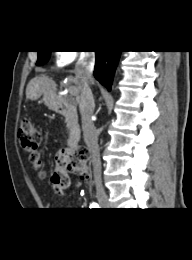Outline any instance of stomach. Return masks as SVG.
I'll return each instance as SVG.
<instances>
[{"label":"stomach","instance_id":"obj_1","mask_svg":"<svg viewBox=\"0 0 192 260\" xmlns=\"http://www.w3.org/2000/svg\"><path fill=\"white\" fill-rule=\"evenodd\" d=\"M36 90H37L36 87H33V88L31 89L29 95H30L31 97H33V98H34V97L39 98L40 93H39L38 91H36Z\"/></svg>","mask_w":192,"mask_h":260}]
</instances>
